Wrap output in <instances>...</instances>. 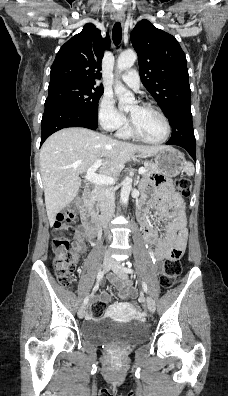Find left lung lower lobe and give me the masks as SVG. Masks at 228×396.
I'll list each match as a JSON object with an SVG mask.
<instances>
[{"instance_id":"left-lung-lower-lobe-1","label":"left lung lower lobe","mask_w":228,"mask_h":396,"mask_svg":"<svg viewBox=\"0 0 228 396\" xmlns=\"http://www.w3.org/2000/svg\"><path fill=\"white\" fill-rule=\"evenodd\" d=\"M180 110L181 117L179 119H174L172 116L168 118L172 126V135L166 144L183 147L196 161V145L192 124L191 104L185 103L180 105Z\"/></svg>"}]
</instances>
